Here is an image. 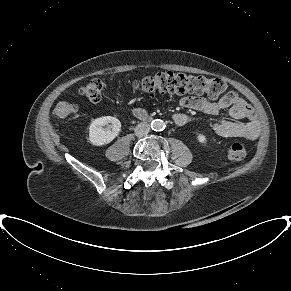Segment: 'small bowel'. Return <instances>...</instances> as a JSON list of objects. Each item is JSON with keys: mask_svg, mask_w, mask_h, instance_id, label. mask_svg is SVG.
<instances>
[{"mask_svg": "<svg viewBox=\"0 0 291 291\" xmlns=\"http://www.w3.org/2000/svg\"><path fill=\"white\" fill-rule=\"evenodd\" d=\"M180 104L209 115H215L221 110L228 109L229 115L234 121L210 123L211 129L222 137L252 141L259 135L260 125L253 109L235 92H228L216 102L209 101L202 96H187L180 100ZM173 120L176 125L184 126L190 121V117L185 113H176Z\"/></svg>", "mask_w": 291, "mask_h": 291, "instance_id": "c3829d8e", "label": "small bowel"}]
</instances>
